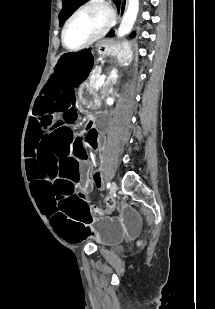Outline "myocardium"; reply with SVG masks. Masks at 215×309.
<instances>
[{"instance_id":"obj_1","label":"myocardium","mask_w":215,"mask_h":309,"mask_svg":"<svg viewBox=\"0 0 215 309\" xmlns=\"http://www.w3.org/2000/svg\"><path fill=\"white\" fill-rule=\"evenodd\" d=\"M86 12H98L103 15V20L101 22L100 27H97L95 29L94 35L89 37L84 42L76 45V46H70L66 42V34L70 27V25L73 23V21L80 15L86 13ZM115 16V13L113 12V9H108V7L104 5L99 4H90L85 5L81 8H79L77 11H75L65 22L63 29L61 31V42L64 48H88L91 46L95 41H97L100 38L105 37L106 30H111L112 26L115 24V21L112 19Z\"/></svg>"}]
</instances>
